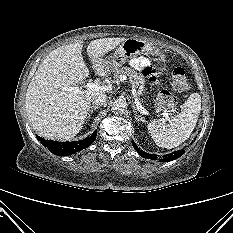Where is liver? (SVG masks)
I'll return each instance as SVG.
<instances>
[{"instance_id":"obj_1","label":"liver","mask_w":233,"mask_h":233,"mask_svg":"<svg viewBox=\"0 0 233 233\" xmlns=\"http://www.w3.org/2000/svg\"><path fill=\"white\" fill-rule=\"evenodd\" d=\"M125 38H102L89 43L87 54L96 75L110 72L102 58ZM83 41L61 46L39 65L26 92V111L33 129L52 140H68L80 132L86 119L91 99L104 91H66L89 76L82 57Z\"/></svg>"}]
</instances>
